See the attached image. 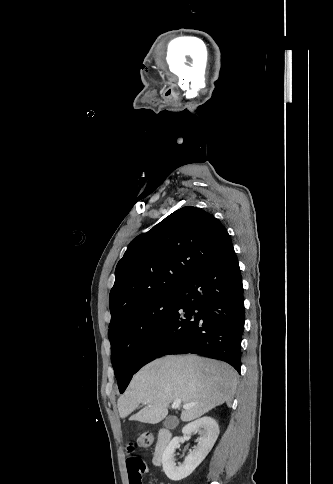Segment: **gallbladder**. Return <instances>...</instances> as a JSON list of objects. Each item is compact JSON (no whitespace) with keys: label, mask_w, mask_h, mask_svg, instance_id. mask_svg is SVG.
<instances>
[{"label":"gallbladder","mask_w":333,"mask_h":484,"mask_svg":"<svg viewBox=\"0 0 333 484\" xmlns=\"http://www.w3.org/2000/svg\"><path fill=\"white\" fill-rule=\"evenodd\" d=\"M176 424H177V419L174 416H168L163 422V425L168 429L174 428Z\"/></svg>","instance_id":"1"}]
</instances>
